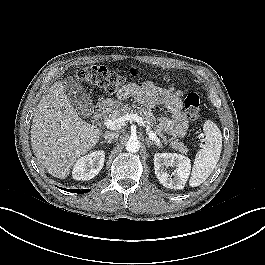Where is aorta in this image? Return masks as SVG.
I'll list each match as a JSON object with an SVG mask.
<instances>
[{"instance_id":"obj_1","label":"aorta","mask_w":265,"mask_h":265,"mask_svg":"<svg viewBox=\"0 0 265 265\" xmlns=\"http://www.w3.org/2000/svg\"><path fill=\"white\" fill-rule=\"evenodd\" d=\"M140 149V142L136 138H131L126 142V150L131 153H136Z\"/></svg>"}]
</instances>
